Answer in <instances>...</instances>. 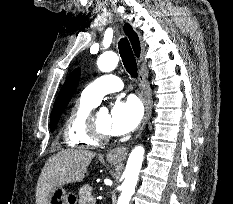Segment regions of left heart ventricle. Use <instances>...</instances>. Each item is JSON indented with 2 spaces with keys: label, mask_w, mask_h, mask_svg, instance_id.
Returning a JSON list of instances; mask_svg holds the SVG:
<instances>
[{
  "label": "left heart ventricle",
  "mask_w": 233,
  "mask_h": 204,
  "mask_svg": "<svg viewBox=\"0 0 233 204\" xmlns=\"http://www.w3.org/2000/svg\"><path fill=\"white\" fill-rule=\"evenodd\" d=\"M99 129L110 134V114L107 112L98 113L95 117Z\"/></svg>",
  "instance_id": "1"
}]
</instances>
